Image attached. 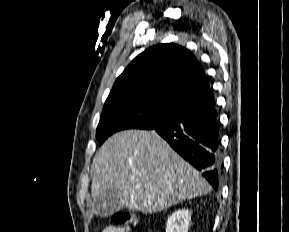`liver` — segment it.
<instances>
[{
    "mask_svg": "<svg viewBox=\"0 0 289 232\" xmlns=\"http://www.w3.org/2000/svg\"><path fill=\"white\" fill-rule=\"evenodd\" d=\"M91 170L93 199L117 190L130 211L156 213L211 191L201 174L155 131L114 134L96 152Z\"/></svg>",
    "mask_w": 289,
    "mask_h": 232,
    "instance_id": "liver-1",
    "label": "liver"
}]
</instances>
